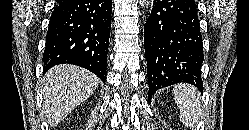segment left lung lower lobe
I'll list each match as a JSON object with an SVG mask.
<instances>
[{
  "label": "left lung lower lobe",
  "mask_w": 249,
  "mask_h": 130,
  "mask_svg": "<svg viewBox=\"0 0 249 130\" xmlns=\"http://www.w3.org/2000/svg\"><path fill=\"white\" fill-rule=\"evenodd\" d=\"M144 45L149 102L155 91L179 82L203 89V44L194 0H154Z\"/></svg>",
  "instance_id": "0a47b994"
}]
</instances>
